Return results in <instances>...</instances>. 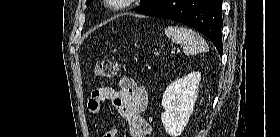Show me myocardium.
<instances>
[{
    "label": "myocardium",
    "mask_w": 280,
    "mask_h": 137,
    "mask_svg": "<svg viewBox=\"0 0 280 137\" xmlns=\"http://www.w3.org/2000/svg\"><path fill=\"white\" fill-rule=\"evenodd\" d=\"M112 6H116L117 9L122 10L130 5L131 0H107Z\"/></svg>",
    "instance_id": "f54148a6"
}]
</instances>
